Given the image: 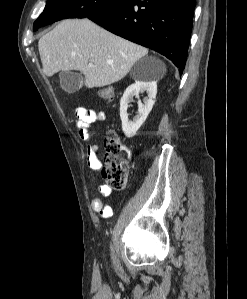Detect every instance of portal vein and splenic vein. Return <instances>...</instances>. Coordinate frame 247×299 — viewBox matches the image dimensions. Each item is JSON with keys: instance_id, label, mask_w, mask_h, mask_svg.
Instances as JSON below:
<instances>
[{"instance_id": "1", "label": "portal vein and splenic vein", "mask_w": 247, "mask_h": 299, "mask_svg": "<svg viewBox=\"0 0 247 299\" xmlns=\"http://www.w3.org/2000/svg\"><path fill=\"white\" fill-rule=\"evenodd\" d=\"M89 66H93V63H89Z\"/></svg>"}]
</instances>
